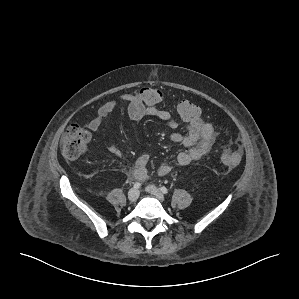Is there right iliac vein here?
Segmentation results:
<instances>
[{
  "instance_id": "63e3f726",
  "label": "right iliac vein",
  "mask_w": 299,
  "mask_h": 299,
  "mask_svg": "<svg viewBox=\"0 0 299 299\" xmlns=\"http://www.w3.org/2000/svg\"><path fill=\"white\" fill-rule=\"evenodd\" d=\"M127 196L130 202H135L139 197V191L134 188L130 189Z\"/></svg>"
}]
</instances>
